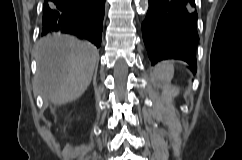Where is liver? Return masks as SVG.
Segmentation results:
<instances>
[{
  "label": "liver",
  "mask_w": 242,
  "mask_h": 160,
  "mask_svg": "<svg viewBox=\"0 0 242 160\" xmlns=\"http://www.w3.org/2000/svg\"><path fill=\"white\" fill-rule=\"evenodd\" d=\"M97 48L68 35L40 40L35 88L55 105L79 98L90 85Z\"/></svg>",
  "instance_id": "obj_1"
}]
</instances>
